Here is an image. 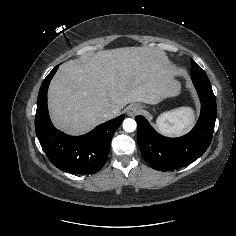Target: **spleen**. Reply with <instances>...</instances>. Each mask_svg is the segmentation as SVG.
<instances>
[{
	"instance_id": "3e777b00",
	"label": "spleen",
	"mask_w": 236,
	"mask_h": 236,
	"mask_svg": "<svg viewBox=\"0 0 236 236\" xmlns=\"http://www.w3.org/2000/svg\"><path fill=\"white\" fill-rule=\"evenodd\" d=\"M194 119L190 107H179L162 113L156 120V126L166 136H180L190 129Z\"/></svg>"
}]
</instances>
